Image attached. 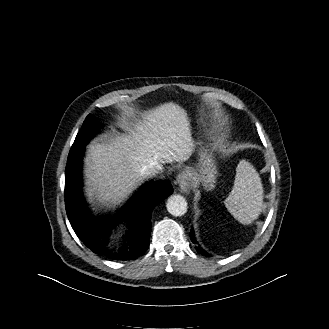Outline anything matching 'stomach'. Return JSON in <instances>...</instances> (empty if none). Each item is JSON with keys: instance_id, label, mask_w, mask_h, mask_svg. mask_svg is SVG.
<instances>
[{"instance_id": "stomach-1", "label": "stomach", "mask_w": 329, "mask_h": 329, "mask_svg": "<svg viewBox=\"0 0 329 329\" xmlns=\"http://www.w3.org/2000/svg\"><path fill=\"white\" fill-rule=\"evenodd\" d=\"M216 173V166L212 156L207 152H202L201 165L198 172H194V176L202 183L206 190H211L214 188Z\"/></svg>"}]
</instances>
